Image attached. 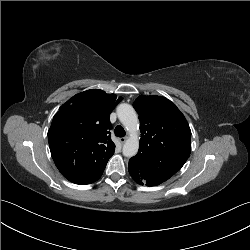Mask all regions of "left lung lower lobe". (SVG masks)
Returning <instances> with one entry per match:
<instances>
[{
	"instance_id": "0a47b994",
	"label": "left lung lower lobe",
	"mask_w": 250,
	"mask_h": 250,
	"mask_svg": "<svg viewBox=\"0 0 250 250\" xmlns=\"http://www.w3.org/2000/svg\"><path fill=\"white\" fill-rule=\"evenodd\" d=\"M128 170L136 183L147 186L159 185L178 171L172 167L158 166L140 152L129 160Z\"/></svg>"
}]
</instances>
